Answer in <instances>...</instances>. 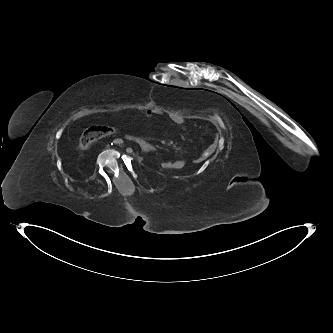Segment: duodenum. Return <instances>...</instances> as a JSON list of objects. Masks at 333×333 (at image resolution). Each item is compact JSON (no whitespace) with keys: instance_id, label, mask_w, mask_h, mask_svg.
I'll use <instances>...</instances> for the list:
<instances>
[{"instance_id":"duodenum-1","label":"duodenum","mask_w":333,"mask_h":333,"mask_svg":"<svg viewBox=\"0 0 333 333\" xmlns=\"http://www.w3.org/2000/svg\"><path fill=\"white\" fill-rule=\"evenodd\" d=\"M130 141H132L133 143H135L136 145L139 146V148L143 151V152H153L156 150L155 146L152 145L151 143L142 140L140 138L137 137H131Z\"/></svg>"}]
</instances>
